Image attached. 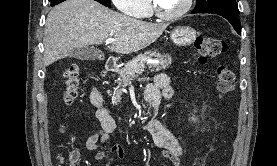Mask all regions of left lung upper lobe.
Listing matches in <instances>:
<instances>
[{"instance_id": "left-lung-upper-lobe-1", "label": "left lung upper lobe", "mask_w": 277, "mask_h": 166, "mask_svg": "<svg viewBox=\"0 0 277 166\" xmlns=\"http://www.w3.org/2000/svg\"><path fill=\"white\" fill-rule=\"evenodd\" d=\"M192 13H227L238 16L239 10L235 0H197Z\"/></svg>"}]
</instances>
